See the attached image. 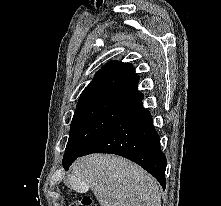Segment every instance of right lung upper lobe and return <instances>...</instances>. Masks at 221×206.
I'll use <instances>...</instances> for the list:
<instances>
[{"instance_id": "1", "label": "right lung upper lobe", "mask_w": 221, "mask_h": 206, "mask_svg": "<svg viewBox=\"0 0 221 206\" xmlns=\"http://www.w3.org/2000/svg\"><path fill=\"white\" fill-rule=\"evenodd\" d=\"M139 76L130 63L111 61L100 69L83 90L77 109L105 105L129 108L143 99L137 90Z\"/></svg>"}]
</instances>
